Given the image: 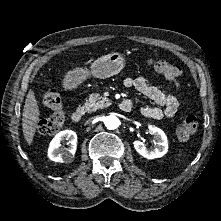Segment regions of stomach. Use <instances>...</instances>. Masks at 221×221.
I'll use <instances>...</instances> for the list:
<instances>
[{
  "instance_id": "1",
  "label": "stomach",
  "mask_w": 221,
  "mask_h": 221,
  "mask_svg": "<svg viewBox=\"0 0 221 221\" xmlns=\"http://www.w3.org/2000/svg\"><path fill=\"white\" fill-rule=\"evenodd\" d=\"M124 65L125 58L123 54L119 52H111L95 60L91 64L90 70L80 67L69 71L65 75V87L68 89H74L90 76L99 79L109 78L118 74L124 68Z\"/></svg>"
}]
</instances>
